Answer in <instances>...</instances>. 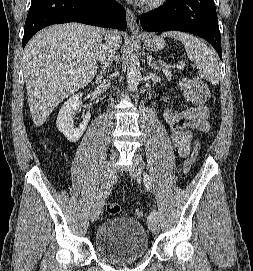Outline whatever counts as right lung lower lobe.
Segmentation results:
<instances>
[{
  "label": "right lung lower lobe",
  "instance_id": "right-lung-lower-lobe-1",
  "mask_svg": "<svg viewBox=\"0 0 253 271\" xmlns=\"http://www.w3.org/2000/svg\"><path fill=\"white\" fill-rule=\"evenodd\" d=\"M81 22L126 30V13L115 0H32L24 27L23 48L40 29L59 23Z\"/></svg>",
  "mask_w": 253,
  "mask_h": 271
}]
</instances>
